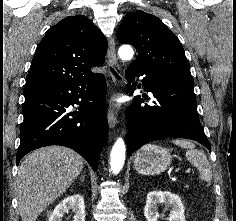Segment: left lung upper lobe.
<instances>
[{"instance_id": "obj_1", "label": "left lung upper lobe", "mask_w": 236, "mask_h": 221, "mask_svg": "<svg viewBox=\"0 0 236 221\" xmlns=\"http://www.w3.org/2000/svg\"><path fill=\"white\" fill-rule=\"evenodd\" d=\"M116 35L121 43L136 48L137 59L129 66L194 86L180 41L156 16L140 10L128 13Z\"/></svg>"}]
</instances>
